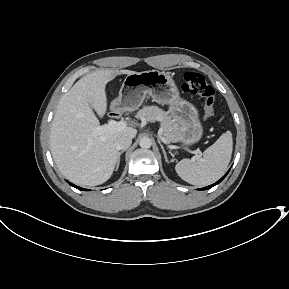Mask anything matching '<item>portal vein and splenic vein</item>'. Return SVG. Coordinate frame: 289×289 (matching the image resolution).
Wrapping results in <instances>:
<instances>
[{"label":"portal vein and splenic vein","instance_id":"obj_1","mask_svg":"<svg viewBox=\"0 0 289 289\" xmlns=\"http://www.w3.org/2000/svg\"><path fill=\"white\" fill-rule=\"evenodd\" d=\"M127 124L126 122L124 121H115V120H110L108 122V124H105V125H102V126H97L93 129V133L95 135H101V134H106V133H112V132H116V131H120V130H123L124 128H126ZM160 140L167 144V140L162 137V136H159ZM198 156L196 155L194 157V160L197 159Z\"/></svg>","mask_w":289,"mask_h":289}]
</instances>
